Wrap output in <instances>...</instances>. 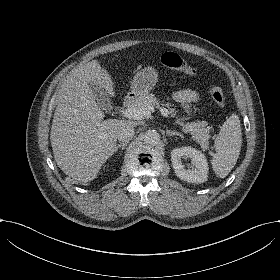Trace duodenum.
<instances>
[{"mask_svg":"<svg viewBox=\"0 0 280 280\" xmlns=\"http://www.w3.org/2000/svg\"><path fill=\"white\" fill-rule=\"evenodd\" d=\"M134 103V99L133 98H126L123 103H122V107L123 109H128L130 108Z\"/></svg>","mask_w":280,"mask_h":280,"instance_id":"410a0bca","label":"duodenum"}]
</instances>
